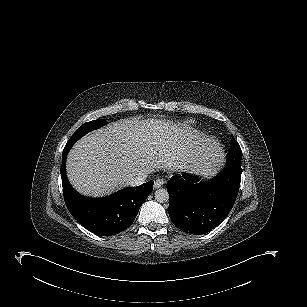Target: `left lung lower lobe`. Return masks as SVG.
Wrapping results in <instances>:
<instances>
[{"mask_svg": "<svg viewBox=\"0 0 307 307\" xmlns=\"http://www.w3.org/2000/svg\"><path fill=\"white\" fill-rule=\"evenodd\" d=\"M195 176L183 173L167 182L169 216L180 230L201 235L218 226L232 209L241 181V168L226 165L216 177L197 183Z\"/></svg>", "mask_w": 307, "mask_h": 307, "instance_id": "0a47b994", "label": "left lung lower lobe"}]
</instances>
